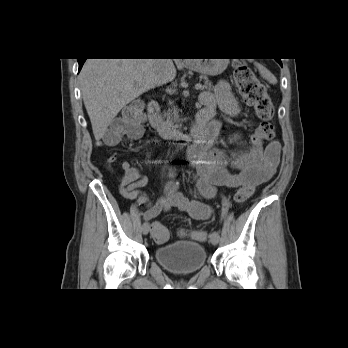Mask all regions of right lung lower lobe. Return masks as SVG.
Returning a JSON list of instances; mask_svg holds the SVG:
<instances>
[{"mask_svg": "<svg viewBox=\"0 0 348 348\" xmlns=\"http://www.w3.org/2000/svg\"><path fill=\"white\" fill-rule=\"evenodd\" d=\"M86 59H78V63H79V71L81 70L84 62H85Z\"/></svg>", "mask_w": 348, "mask_h": 348, "instance_id": "obj_1", "label": "right lung lower lobe"}]
</instances>
